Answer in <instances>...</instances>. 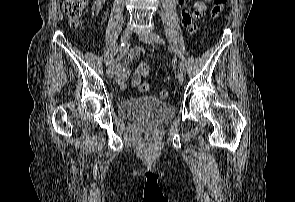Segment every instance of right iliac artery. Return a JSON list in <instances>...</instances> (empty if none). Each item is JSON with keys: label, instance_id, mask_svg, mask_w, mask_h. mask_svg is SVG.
<instances>
[{"label": "right iliac artery", "instance_id": "obj_1", "mask_svg": "<svg viewBox=\"0 0 295 202\" xmlns=\"http://www.w3.org/2000/svg\"><path fill=\"white\" fill-rule=\"evenodd\" d=\"M126 47L127 45L125 43H122L120 46L115 47L110 54V57L107 61V65H111L113 63L114 56L117 54V52L126 49Z\"/></svg>", "mask_w": 295, "mask_h": 202}]
</instances>
